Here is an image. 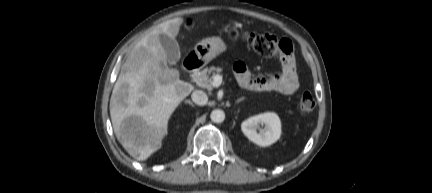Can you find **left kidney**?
I'll use <instances>...</instances> for the list:
<instances>
[{"label":"left kidney","instance_id":"5707ae66","mask_svg":"<svg viewBox=\"0 0 432 193\" xmlns=\"http://www.w3.org/2000/svg\"><path fill=\"white\" fill-rule=\"evenodd\" d=\"M264 124V128H260ZM244 135L253 143L266 147L275 143L281 136V121L276 113L266 112L252 116L241 124Z\"/></svg>","mask_w":432,"mask_h":193}]
</instances>
